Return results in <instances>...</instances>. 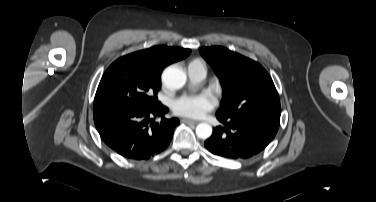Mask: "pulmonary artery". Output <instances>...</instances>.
I'll return each instance as SVG.
<instances>
[{"mask_svg": "<svg viewBox=\"0 0 376 202\" xmlns=\"http://www.w3.org/2000/svg\"><path fill=\"white\" fill-rule=\"evenodd\" d=\"M207 73V69L202 62H192L188 67V74L192 81H202Z\"/></svg>", "mask_w": 376, "mask_h": 202, "instance_id": "pulmonary-artery-1", "label": "pulmonary artery"}]
</instances>
